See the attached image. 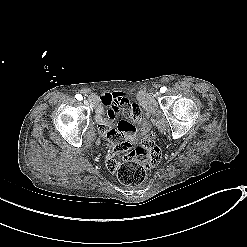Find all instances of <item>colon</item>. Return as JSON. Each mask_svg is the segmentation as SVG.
I'll return each mask as SVG.
<instances>
[{
    "label": "colon",
    "mask_w": 247,
    "mask_h": 247,
    "mask_svg": "<svg viewBox=\"0 0 247 247\" xmlns=\"http://www.w3.org/2000/svg\"><path fill=\"white\" fill-rule=\"evenodd\" d=\"M142 115L138 121L142 123ZM161 160V151L154 141L146 135L139 145L126 151L116 172L119 181L127 186H139L146 181L148 172Z\"/></svg>",
    "instance_id": "5ec220e1"
}]
</instances>
